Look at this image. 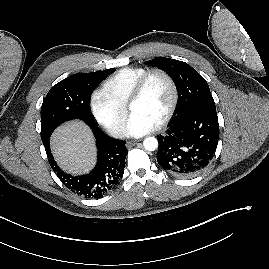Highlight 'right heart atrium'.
Returning a JSON list of instances; mask_svg holds the SVG:
<instances>
[{"label":"right heart atrium","mask_w":269,"mask_h":269,"mask_svg":"<svg viewBox=\"0 0 269 269\" xmlns=\"http://www.w3.org/2000/svg\"><path fill=\"white\" fill-rule=\"evenodd\" d=\"M90 109L99 124L116 137L124 134L127 113L103 90H95L90 98Z\"/></svg>","instance_id":"1"}]
</instances>
